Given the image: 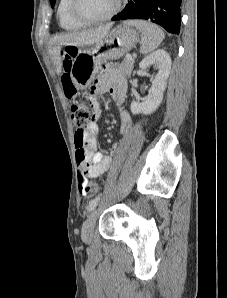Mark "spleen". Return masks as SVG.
<instances>
[{"label": "spleen", "instance_id": "3e777b00", "mask_svg": "<svg viewBox=\"0 0 227 298\" xmlns=\"http://www.w3.org/2000/svg\"><path fill=\"white\" fill-rule=\"evenodd\" d=\"M126 23L135 26L142 33V45L140 48L142 54L154 51L165 38L164 32L151 22L130 20Z\"/></svg>", "mask_w": 227, "mask_h": 298}]
</instances>
